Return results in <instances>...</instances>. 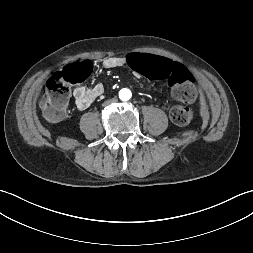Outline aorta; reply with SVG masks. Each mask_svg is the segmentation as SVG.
Returning <instances> with one entry per match:
<instances>
[{
  "instance_id": "aorta-1",
  "label": "aorta",
  "mask_w": 253,
  "mask_h": 253,
  "mask_svg": "<svg viewBox=\"0 0 253 253\" xmlns=\"http://www.w3.org/2000/svg\"><path fill=\"white\" fill-rule=\"evenodd\" d=\"M119 97H120L121 100L127 101V100L130 99L131 93H130L129 90L123 89V90L120 91Z\"/></svg>"
}]
</instances>
